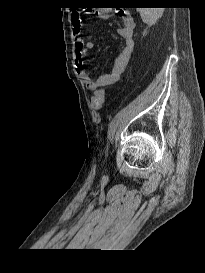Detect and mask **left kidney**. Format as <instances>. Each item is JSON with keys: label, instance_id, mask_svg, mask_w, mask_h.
<instances>
[{"label": "left kidney", "instance_id": "1", "mask_svg": "<svg viewBox=\"0 0 205 273\" xmlns=\"http://www.w3.org/2000/svg\"><path fill=\"white\" fill-rule=\"evenodd\" d=\"M163 10V8H137L142 21L149 26L156 24L158 19L162 17Z\"/></svg>", "mask_w": 205, "mask_h": 273}]
</instances>
